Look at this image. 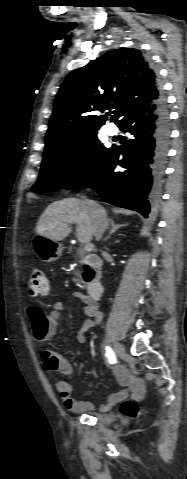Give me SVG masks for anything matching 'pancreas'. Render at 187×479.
Here are the masks:
<instances>
[{
  "label": "pancreas",
  "instance_id": "1",
  "mask_svg": "<svg viewBox=\"0 0 187 479\" xmlns=\"http://www.w3.org/2000/svg\"><path fill=\"white\" fill-rule=\"evenodd\" d=\"M76 276H77V278H76L77 281L82 282V283H85V282L83 281V279L81 278V272H79V271L76 272Z\"/></svg>",
  "mask_w": 187,
  "mask_h": 479
}]
</instances>
